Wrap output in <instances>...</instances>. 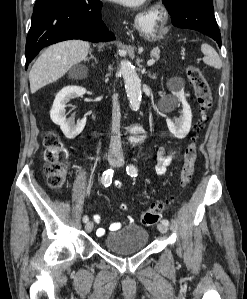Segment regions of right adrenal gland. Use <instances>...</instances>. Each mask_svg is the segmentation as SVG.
<instances>
[{"label":"right adrenal gland","mask_w":247,"mask_h":299,"mask_svg":"<svg viewBox=\"0 0 247 299\" xmlns=\"http://www.w3.org/2000/svg\"><path fill=\"white\" fill-rule=\"evenodd\" d=\"M89 59H94L95 62L97 63V59L95 58V56H94L92 53H90V57L88 58V60H89Z\"/></svg>","instance_id":"2a0ac1e0"}]
</instances>
